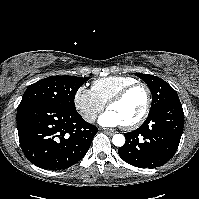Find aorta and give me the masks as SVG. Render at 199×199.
Returning a JSON list of instances; mask_svg holds the SVG:
<instances>
[{"label":"aorta","instance_id":"1","mask_svg":"<svg viewBox=\"0 0 199 199\" xmlns=\"http://www.w3.org/2000/svg\"><path fill=\"white\" fill-rule=\"evenodd\" d=\"M112 142L115 146L121 147L125 144V137L122 134H115L112 138Z\"/></svg>","mask_w":199,"mask_h":199}]
</instances>
